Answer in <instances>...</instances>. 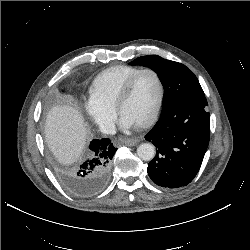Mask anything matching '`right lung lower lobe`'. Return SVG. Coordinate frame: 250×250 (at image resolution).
<instances>
[{
	"instance_id": "obj_1",
	"label": "right lung lower lobe",
	"mask_w": 250,
	"mask_h": 250,
	"mask_svg": "<svg viewBox=\"0 0 250 250\" xmlns=\"http://www.w3.org/2000/svg\"><path fill=\"white\" fill-rule=\"evenodd\" d=\"M116 150L108 138L90 142L87 160L70 175V185L75 194L90 197L104 188Z\"/></svg>"
}]
</instances>
